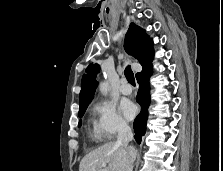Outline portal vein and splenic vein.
<instances>
[{"label": "portal vein and splenic vein", "instance_id": "obj_1", "mask_svg": "<svg viewBox=\"0 0 223 171\" xmlns=\"http://www.w3.org/2000/svg\"><path fill=\"white\" fill-rule=\"evenodd\" d=\"M106 166V164H102L101 166H100V168H103V167H105Z\"/></svg>", "mask_w": 223, "mask_h": 171}]
</instances>
